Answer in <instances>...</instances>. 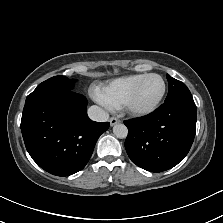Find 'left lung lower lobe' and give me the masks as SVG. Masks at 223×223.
<instances>
[{
  "instance_id": "left-lung-lower-lobe-1",
  "label": "left lung lower lobe",
  "mask_w": 223,
  "mask_h": 223,
  "mask_svg": "<svg viewBox=\"0 0 223 223\" xmlns=\"http://www.w3.org/2000/svg\"><path fill=\"white\" fill-rule=\"evenodd\" d=\"M125 148L137 166L162 172L177 165L189 152L196 132V105L167 102L151 114L124 121Z\"/></svg>"
}]
</instances>
